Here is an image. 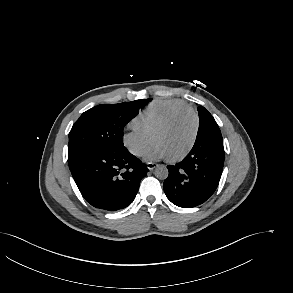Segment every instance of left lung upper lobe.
<instances>
[{"instance_id": "1", "label": "left lung upper lobe", "mask_w": 293, "mask_h": 293, "mask_svg": "<svg viewBox=\"0 0 293 293\" xmlns=\"http://www.w3.org/2000/svg\"><path fill=\"white\" fill-rule=\"evenodd\" d=\"M200 125L196 139L216 136L222 139L221 131L213 116L203 107H198Z\"/></svg>"}]
</instances>
